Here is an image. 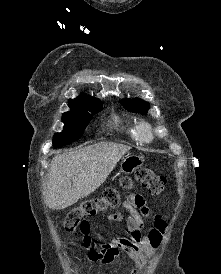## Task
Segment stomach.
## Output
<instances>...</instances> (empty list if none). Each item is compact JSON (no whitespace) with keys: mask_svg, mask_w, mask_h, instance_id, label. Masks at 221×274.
Returning <instances> with one entry per match:
<instances>
[{"mask_svg":"<svg viewBox=\"0 0 221 274\" xmlns=\"http://www.w3.org/2000/svg\"><path fill=\"white\" fill-rule=\"evenodd\" d=\"M142 164L143 159L140 156L128 155L122 160L120 164V171L124 174H131Z\"/></svg>","mask_w":221,"mask_h":274,"instance_id":"0dacf381","label":"stomach"}]
</instances>
